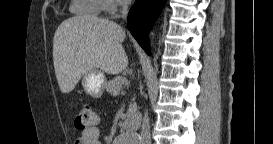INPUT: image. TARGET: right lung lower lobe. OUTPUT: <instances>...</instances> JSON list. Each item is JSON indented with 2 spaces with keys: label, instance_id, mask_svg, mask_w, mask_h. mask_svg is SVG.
Instances as JSON below:
<instances>
[{
  "label": "right lung lower lobe",
  "instance_id": "98d812e1",
  "mask_svg": "<svg viewBox=\"0 0 273 144\" xmlns=\"http://www.w3.org/2000/svg\"><path fill=\"white\" fill-rule=\"evenodd\" d=\"M166 0H138L131 7L127 27L147 54H150L148 32Z\"/></svg>",
  "mask_w": 273,
  "mask_h": 144
}]
</instances>
